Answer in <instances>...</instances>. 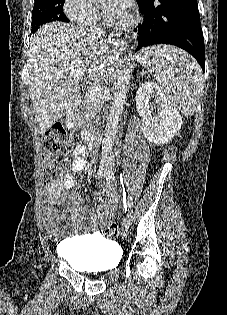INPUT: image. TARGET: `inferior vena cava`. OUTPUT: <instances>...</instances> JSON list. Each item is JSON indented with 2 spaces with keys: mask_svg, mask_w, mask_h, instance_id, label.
<instances>
[{
  "mask_svg": "<svg viewBox=\"0 0 227 315\" xmlns=\"http://www.w3.org/2000/svg\"><path fill=\"white\" fill-rule=\"evenodd\" d=\"M87 31L93 36V37H101V28L94 22L91 23L87 29ZM102 136H103V130L100 128H97L94 133V146L99 147L102 142ZM101 168H107L111 167V161L109 163H105L104 161H101Z\"/></svg>",
  "mask_w": 227,
  "mask_h": 315,
  "instance_id": "1",
  "label": "inferior vena cava"
}]
</instances>
